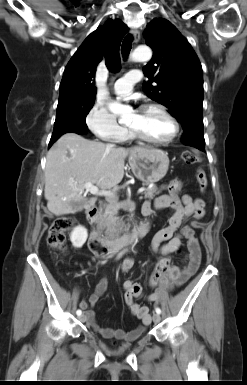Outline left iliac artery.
I'll return each instance as SVG.
<instances>
[{
	"mask_svg": "<svg viewBox=\"0 0 247 385\" xmlns=\"http://www.w3.org/2000/svg\"><path fill=\"white\" fill-rule=\"evenodd\" d=\"M156 313L161 314V309L157 307L156 308Z\"/></svg>",
	"mask_w": 247,
	"mask_h": 385,
	"instance_id": "1",
	"label": "left iliac artery"
}]
</instances>
